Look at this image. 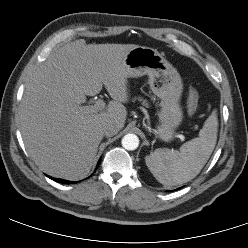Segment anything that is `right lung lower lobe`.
Instances as JSON below:
<instances>
[{
  "label": "right lung lower lobe",
  "mask_w": 248,
  "mask_h": 248,
  "mask_svg": "<svg viewBox=\"0 0 248 248\" xmlns=\"http://www.w3.org/2000/svg\"><path fill=\"white\" fill-rule=\"evenodd\" d=\"M100 162H101V159L99 160V162H98V164H97V168H98ZM48 177H49L50 179H52V180H54V181H56V182H58V183H62V184L75 183V182H71V181H67V180H63V179L53 178V177H50V176H48Z\"/></svg>",
  "instance_id": "right-lung-lower-lobe-1"
}]
</instances>
